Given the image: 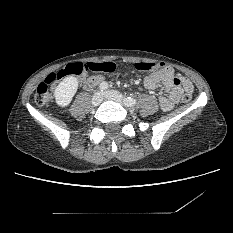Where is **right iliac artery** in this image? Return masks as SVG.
Instances as JSON below:
<instances>
[{
  "instance_id": "82829eb1",
  "label": "right iliac artery",
  "mask_w": 233,
  "mask_h": 233,
  "mask_svg": "<svg viewBox=\"0 0 233 233\" xmlns=\"http://www.w3.org/2000/svg\"><path fill=\"white\" fill-rule=\"evenodd\" d=\"M99 88L103 92L108 88V84L106 82H103L100 84Z\"/></svg>"
}]
</instances>
